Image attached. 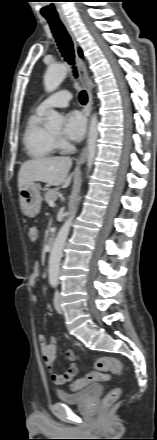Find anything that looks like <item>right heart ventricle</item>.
Returning <instances> with one entry per match:
<instances>
[{
    "label": "right heart ventricle",
    "mask_w": 157,
    "mask_h": 440,
    "mask_svg": "<svg viewBox=\"0 0 157 440\" xmlns=\"http://www.w3.org/2000/svg\"><path fill=\"white\" fill-rule=\"evenodd\" d=\"M43 115V111L35 109L29 115L24 129V147L27 154L33 158L49 156L56 149L55 139L42 125Z\"/></svg>",
    "instance_id": "1"
}]
</instances>
